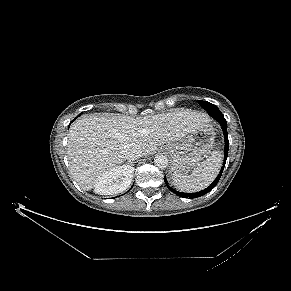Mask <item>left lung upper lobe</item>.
<instances>
[{"label":"left lung upper lobe","instance_id":"5c2ea615","mask_svg":"<svg viewBox=\"0 0 291 291\" xmlns=\"http://www.w3.org/2000/svg\"><path fill=\"white\" fill-rule=\"evenodd\" d=\"M198 103L201 105L203 109H205L208 112L210 116H212L213 114L221 113L219 109L212 103L201 100Z\"/></svg>","mask_w":291,"mask_h":291}]
</instances>
